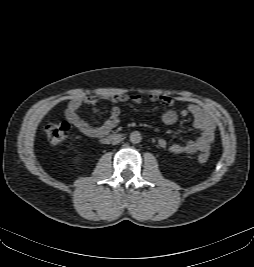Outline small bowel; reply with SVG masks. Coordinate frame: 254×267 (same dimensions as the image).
<instances>
[{"instance_id": "small-bowel-1", "label": "small bowel", "mask_w": 254, "mask_h": 267, "mask_svg": "<svg viewBox=\"0 0 254 267\" xmlns=\"http://www.w3.org/2000/svg\"><path fill=\"white\" fill-rule=\"evenodd\" d=\"M113 103L131 102L139 104L141 97L138 95L116 94L106 97ZM152 102H159L167 109L162 115V121L165 124L175 123L179 117H193L194 127L199 131V134L185 143H174L169 147L173 154L193 155L197 152H206L210 149L215 137V124L210 115H208L198 105H189L180 110L173 108L174 100L166 95H151ZM98 98L95 96L76 98L71 100L65 108V118L75 126L83 135L90 138H102L110 131L118 126L121 120L122 110L118 105L111 108L108 119L100 126H93L82 119L79 115V109L84 105H91L93 111L97 112ZM160 147H166L167 143L164 139L158 141Z\"/></svg>"}]
</instances>
